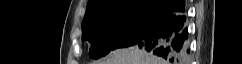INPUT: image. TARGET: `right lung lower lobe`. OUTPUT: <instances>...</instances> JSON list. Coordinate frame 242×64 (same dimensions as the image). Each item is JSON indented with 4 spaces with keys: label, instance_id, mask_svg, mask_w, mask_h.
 <instances>
[{
    "label": "right lung lower lobe",
    "instance_id": "1",
    "mask_svg": "<svg viewBox=\"0 0 242 64\" xmlns=\"http://www.w3.org/2000/svg\"><path fill=\"white\" fill-rule=\"evenodd\" d=\"M188 28L184 0H174L162 17L135 46L173 64L188 61Z\"/></svg>",
    "mask_w": 242,
    "mask_h": 64
}]
</instances>
